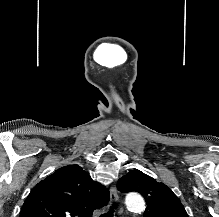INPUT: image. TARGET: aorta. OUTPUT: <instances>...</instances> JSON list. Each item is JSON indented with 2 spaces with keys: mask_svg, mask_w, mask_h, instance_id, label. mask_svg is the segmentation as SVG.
Masks as SVG:
<instances>
[{
  "mask_svg": "<svg viewBox=\"0 0 219 217\" xmlns=\"http://www.w3.org/2000/svg\"><path fill=\"white\" fill-rule=\"evenodd\" d=\"M127 207L134 212H142L145 209L144 199L140 195H130L126 198Z\"/></svg>",
  "mask_w": 219,
  "mask_h": 217,
  "instance_id": "1",
  "label": "aorta"
}]
</instances>
